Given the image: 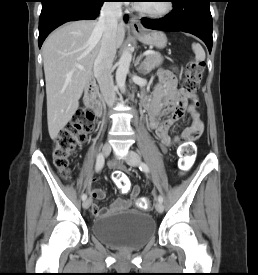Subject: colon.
I'll return each instance as SVG.
<instances>
[{
  "label": "colon",
  "instance_id": "5ec220e1",
  "mask_svg": "<svg viewBox=\"0 0 258 275\" xmlns=\"http://www.w3.org/2000/svg\"><path fill=\"white\" fill-rule=\"evenodd\" d=\"M203 73V66L200 62L192 60L186 67L182 75L181 90L187 92L190 97L197 102L195 92ZM94 127V115L87 109L79 110L68 123L57 134L53 145V159L55 165L59 168L64 178H69L71 171L69 168L70 158L73 155L77 145L83 142L85 134ZM194 145L192 142L182 144L179 151L180 169L187 170L194 158ZM116 187L122 192H129L131 189L128 176L121 171H116L112 175ZM137 205L140 209H147L150 205L148 198L138 199Z\"/></svg>",
  "mask_w": 258,
  "mask_h": 275
}]
</instances>
